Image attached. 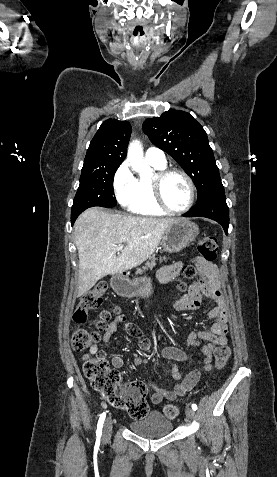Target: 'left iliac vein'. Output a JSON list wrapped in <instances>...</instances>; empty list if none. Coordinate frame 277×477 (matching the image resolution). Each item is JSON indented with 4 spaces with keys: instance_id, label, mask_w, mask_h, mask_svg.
<instances>
[{
    "instance_id": "1",
    "label": "left iliac vein",
    "mask_w": 277,
    "mask_h": 477,
    "mask_svg": "<svg viewBox=\"0 0 277 477\" xmlns=\"http://www.w3.org/2000/svg\"><path fill=\"white\" fill-rule=\"evenodd\" d=\"M185 413H186V416H187L188 419H192L195 416L194 410L191 409L190 407L186 408Z\"/></svg>"
}]
</instances>
